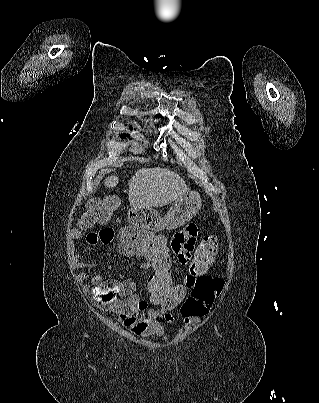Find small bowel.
I'll list each match as a JSON object with an SVG mask.
<instances>
[{
    "label": "small bowel",
    "instance_id": "1",
    "mask_svg": "<svg viewBox=\"0 0 319 403\" xmlns=\"http://www.w3.org/2000/svg\"><path fill=\"white\" fill-rule=\"evenodd\" d=\"M199 232V224H186L170 238V253L176 262L187 264L191 261L192 250ZM83 236L86 249H105L106 246H111V238H115L116 231L111 228L110 224H101L99 229H88L85 232L79 230L74 233L76 238ZM120 251L122 253L121 248ZM71 265L77 270L75 276L80 285L85 291H89L88 299L92 309H101V314L106 315L112 328L123 324L134 335L146 338L162 336L164 323L173 322L174 313H158V304H153L157 308L152 309L148 307L147 301L141 300L136 294L129 295V290L132 292L136 290V283L132 278L125 279V285H122L121 279L103 278L102 275L95 274L91 277L89 284L87 271L93 266L92 262L73 253ZM180 285L182 283L179 284V287ZM188 296H194L192 291ZM178 308H181V302Z\"/></svg>",
    "mask_w": 319,
    "mask_h": 403
}]
</instances>
